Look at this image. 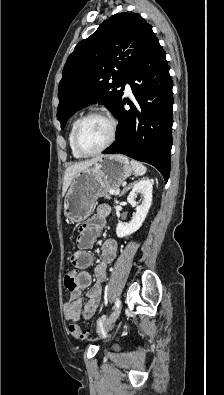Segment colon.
<instances>
[{"instance_id": "5ec220e1", "label": "colon", "mask_w": 224, "mask_h": 395, "mask_svg": "<svg viewBox=\"0 0 224 395\" xmlns=\"http://www.w3.org/2000/svg\"><path fill=\"white\" fill-rule=\"evenodd\" d=\"M64 284L66 289L73 291L76 288V279L73 271H68L64 277ZM70 334L79 340H85L90 337V332L83 329L80 325L72 323L69 325Z\"/></svg>"}]
</instances>
